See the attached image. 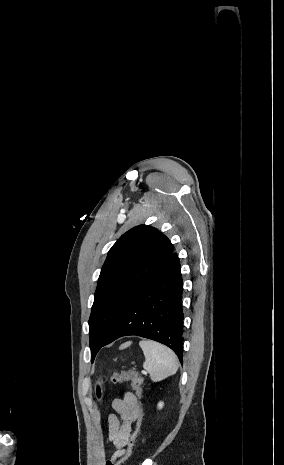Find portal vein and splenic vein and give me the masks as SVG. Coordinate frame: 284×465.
<instances>
[{
	"label": "portal vein and splenic vein",
	"instance_id": "portal-vein-and-splenic-vein-1",
	"mask_svg": "<svg viewBox=\"0 0 284 465\" xmlns=\"http://www.w3.org/2000/svg\"><path fill=\"white\" fill-rule=\"evenodd\" d=\"M141 373H143V375H147L146 371H141Z\"/></svg>",
	"mask_w": 284,
	"mask_h": 465
}]
</instances>
